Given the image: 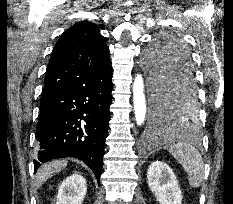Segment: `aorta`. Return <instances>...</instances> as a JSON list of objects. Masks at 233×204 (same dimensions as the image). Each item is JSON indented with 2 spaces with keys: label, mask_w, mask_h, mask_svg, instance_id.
<instances>
[{
  "label": "aorta",
  "mask_w": 233,
  "mask_h": 204,
  "mask_svg": "<svg viewBox=\"0 0 233 204\" xmlns=\"http://www.w3.org/2000/svg\"><path fill=\"white\" fill-rule=\"evenodd\" d=\"M133 103L135 111V119L137 125H142L147 114L146 98L144 94V81L141 74H137L133 82ZM163 111L166 106H162Z\"/></svg>",
  "instance_id": "obj_1"
}]
</instances>
